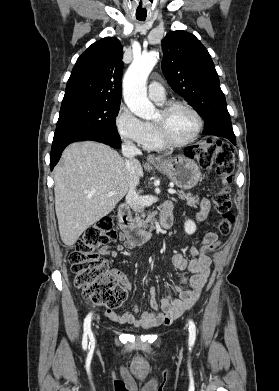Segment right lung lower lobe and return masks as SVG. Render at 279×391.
<instances>
[{
	"mask_svg": "<svg viewBox=\"0 0 279 391\" xmlns=\"http://www.w3.org/2000/svg\"><path fill=\"white\" fill-rule=\"evenodd\" d=\"M82 140H94L98 142H103L113 148H118L121 144L118 132L114 129H101L96 131H90L65 140L53 142L50 154L51 170H53L54 166L59 161L62 151L69 143Z\"/></svg>",
	"mask_w": 279,
	"mask_h": 391,
	"instance_id": "obj_1",
	"label": "right lung lower lobe"
}]
</instances>
